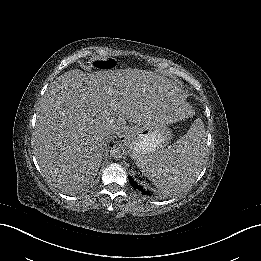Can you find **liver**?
I'll return each mask as SVG.
<instances>
[{"instance_id": "6515ba94", "label": "liver", "mask_w": 261, "mask_h": 261, "mask_svg": "<svg viewBox=\"0 0 261 261\" xmlns=\"http://www.w3.org/2000/svg\"><path fill=\"white\" fill-rule=\"evenodd\" d=\"M132 98L107 71L75 70L50 87L40 101L35 129V156L43 172L57 181L82 180L101 161L107 133H117L125 123L117 112L124 108L123 115L138 124L161 116L164 102Z\"/></svg>"}]
</instances>
